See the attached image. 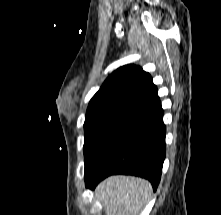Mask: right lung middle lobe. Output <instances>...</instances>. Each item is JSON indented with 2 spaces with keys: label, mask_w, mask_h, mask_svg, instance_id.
I'll return each mask as SVG.
<instances>
[{
  "label": "right lung middle lobe",
  "mask_w": 221,
  "mask_h": 215,
  "mask_svg": "<svg viewBox=\"0 0 221 215\" xmlns=\"http://www.w3.org/2000/svg\"><path fill=\"white\" fill-rule=\"evenodd\" d=\"M137 109L116 103L89 104L85 123V170L96 159L107 140Z\"/></svg>",
  "instance_id": "obj_1"
}]
</instances>
